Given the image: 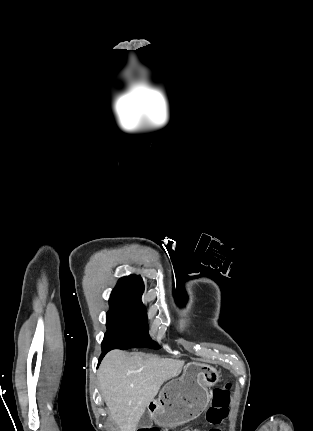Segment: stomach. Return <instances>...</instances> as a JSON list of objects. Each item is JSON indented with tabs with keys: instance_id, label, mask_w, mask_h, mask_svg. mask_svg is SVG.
<instances>
[{
	"instance_id": "0dacf381",
	"label": "stomach",
	"mask_w": 313,
	"mask_h": 431,
	"mask_svg": "<svg viewBox=\"0 0 313 431\" xmlns=\"http://www.w3.org/2000/svg\"><path fill=\"white\" fill-rule=\"evenodd\" d=\"M218 371L206 364L188 363L180 378L169 381L150 403L154 420L164 427H176L199 417L209 403L208 387L219 382Z\"/></svg>"
}]
</instances>
